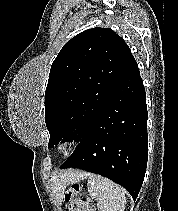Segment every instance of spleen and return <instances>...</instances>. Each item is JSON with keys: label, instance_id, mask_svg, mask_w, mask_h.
Returning a JSON list of instances; mask_svg holds the SVG:
<instances>
[{"label": "spleen", "instance_id": "3e777b00", "mask_svg": "<svg viewBox=\"0 0 178 211\" xmlns=\"http://www.w3.org/2000/svg\"><path fill=\"white\" fill-rule=\"evenodd\" d=\"M88 178L87 189L92 199L97 201L99 211H123L125 208L124 190L97 174H83Z\"/></svg>", "mask_w": 178, "mask_h": 211}]
</instances>
